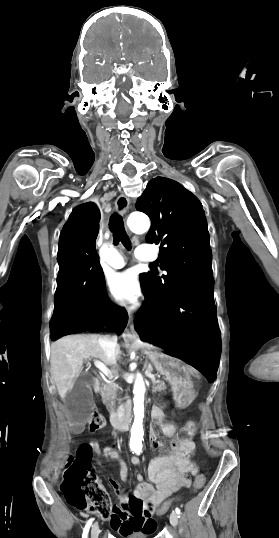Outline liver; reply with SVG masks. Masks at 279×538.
I'll list each match as a JSON object with an SVG mask.
<instances>
[{"label": "liver", "instance_id": "6515ba94", "mask_svg": "<svg viewBox=\"0 0 279 538\" xmlns=\"http://www.w3.org/2000/svg\"><path fill=\"white\" fill-rule=\"evenodd\" d=\"M115 354H120L119 346H116ZM88 358H98L108 364L98 336H64L51 344L50 374L63 402L67 392L72 390L84 360Z\"/></svg>", "mask_w": 279, "mask_h": 538}]
</instances>
